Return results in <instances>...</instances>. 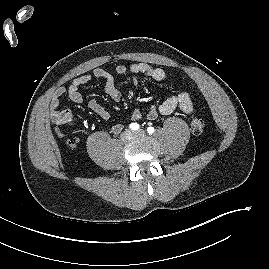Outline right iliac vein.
Segmentation results:
<instances>
[{"label":"right iliac vein","mask_w":269,"mask_h":269,"mask_svg":"<svg viewBox=\"0 0 269 269\" xmlns=\"http://www.w3.org/2000/svg\"><path fill=\"white\" fill-rule=\"evenodd\" d=\"M134 134L132 131L130 130H126L125 132H123L120 136L122 141H129L133 138Z\"/></svg>","instance_id":"1"}]
</instances>
